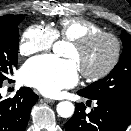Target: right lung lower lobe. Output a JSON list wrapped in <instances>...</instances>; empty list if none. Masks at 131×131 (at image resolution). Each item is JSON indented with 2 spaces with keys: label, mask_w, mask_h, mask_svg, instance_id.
I'll return each mask as SVG.
<instances>
[{
  "label": "right lung lower lobe",
  "mask_w": 131,
  "mask_h": 131,
  "mask_svg": "<svg viewBox=\"0 0 131 131\" xmlns=\"http://www.w3.org/2000/svg\"><path fill=\"white\" fill-rule=\"evenodd\" d=\"M37 100L38 96L28 87L20 88L12 99L3 100L0 95V131H25Z\"/></svg>",
  "instance_id": "1"
}]
</instances>
